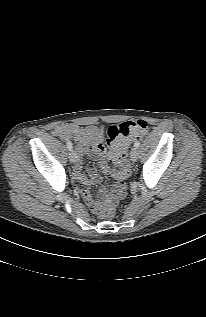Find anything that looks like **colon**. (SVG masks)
Returning <instances> with one entry per match:
<instances>
[{
	"label": "colon",
	"mask_w": 206,
	"mask_h": 317,
	"mask_svg": "<svg viewBox=\"0 0 206 317\" xmlns=\"http://www.w3.org/2000/svg\"><path fill=\"white\" fill-rule=\"evenodd\" d=\"M148 131V124L144 120L126 121L118 125L110 126L108 129L107 142L112 148L111 160L120 168L114 172L117 180L115 195L123 190V180L129 175L130 168L127 160L126 150L131 141L144 136ZM96 212L104 218H111L115 210L112 206L98 205Z\"/></svg>",
	"instance_id": "1"
}]
</instances>
